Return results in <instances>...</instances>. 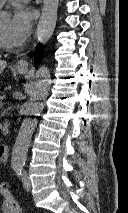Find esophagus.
Here are the masks:
<instances>
[{"label":"esophagus","mask_w":128,"mask_h":213,"mask_svg":"<svg viewBox=\"0 0 128 213\" xmlns=\"http://www.w3.org/2000/svg\"><path fill=\"white\" fill-rule=\"evenodd\" d=\"M39 3H41V0H38ZM28 61L25 58H21L14 64V68L18 70H27L28 69Z\"/></svg>","instance_id":"esophagus-1"}]
</instances>
